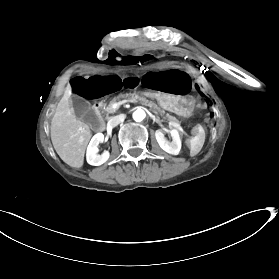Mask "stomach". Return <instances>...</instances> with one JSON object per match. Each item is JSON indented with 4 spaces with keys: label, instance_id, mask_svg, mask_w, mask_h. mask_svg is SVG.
<instances>
[{
    "label": "stomach",
    "instance_id": "obj_1",
    "mask_svg": "<svg viewBox=\"0 0 279 279\" xmlns=\"http://www.w3.org/2000/svg\"><path fill=\"white\" fill-rule=\"evenodd\" d=\"M155 102L159 104L160 108L166 110L170 108L173 111H177L179 113H185L189 115L193 109V101L189 97H180L177 100L172 97H165L164 94L159 93L155 97Z\"/></svg>",
    "mask_w": 279,
    "mask_h": 279
}]
</instances>
